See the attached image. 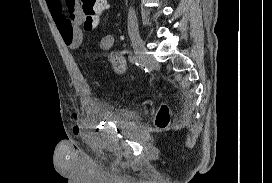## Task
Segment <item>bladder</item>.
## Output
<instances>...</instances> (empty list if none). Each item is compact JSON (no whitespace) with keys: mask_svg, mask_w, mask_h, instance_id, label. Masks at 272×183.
<instances>
[{"mask_svg":"<svg viewBox=\"0 0 272 183\" xmlns=\"http://www.w3.org/2000/svg\"><path fill=\"white\" fill-rule=\"evenodd\" d=\"M103 115L118 125L128 124L132 122L136 117L134 112L125 111V110L119 111V112H111V113L105 112L103 113Z\"/></svg>","mask_w":272,"mask_h":183,"instance_id":"bladder-1","label":"bladder"}]
</instances>
